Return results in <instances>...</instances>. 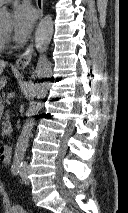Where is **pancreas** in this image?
<instances>
[{"instance_id":"cf45deb5","label":"pancreas","mask_w":128,"mask_h":213,"mask_svg":"<svg viewBox=\"0 0 128 213\" xmlns=\"http://www.w3.org/2000/svg\"><path fill=\"white\" fill-rule=\"evenodd\" d=\"M0 104H2V98L0 97ZM0 118H1V112H0ZM5 121L2 122V136H9L11 133V124L9 121V114L7 113L4 117Z\"/></svg>"}]
</instances>
